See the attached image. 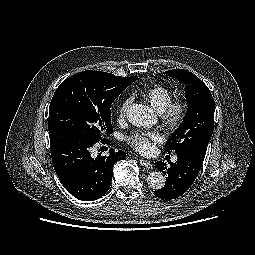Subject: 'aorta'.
<instances>
[{"label":"aorta","instance_id":"1","mask_svg":"<svg viewBox=\"0 0 255 255\" xmlns=\"http://www.w3.org/2000/svg\"><path fill=\"white\" fill-rule=\"evenodd\" d=\"M129 122L137 127L149 128L155 124L156 117L146 105L133 104L127 112ZM165 176L159 171H152L147 176L149 187L155 190L162 189L165 185Z\"/></svg>","mask_w":255,"mask_h":255}]
</instances>
